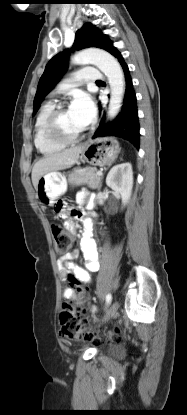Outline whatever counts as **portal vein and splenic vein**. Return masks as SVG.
<instances>
[{"label":"portal vein and splenic vein","instance_id":"portal-vein-and-splenic-vein-1","mask_svg":"<svg viewBox=\"0 0 187 415\" xmlns=\"http://www.w3.org/2000/svg\"><path fill=\"white\" fill-rule=\"evenodd\" d=\"M97 174H98V175H102V171H98V172H97Z\"/></svg>","mask_w":187,"mask_h":415}]
</instances>
